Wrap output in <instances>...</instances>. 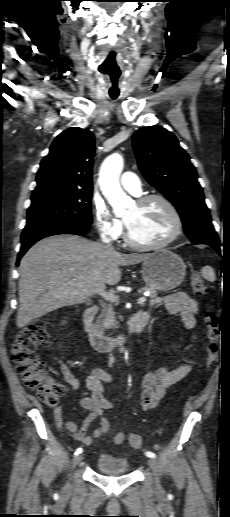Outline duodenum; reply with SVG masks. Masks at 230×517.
I'll use <instances>...</instances> for the list:
<instances>
[{"mask_svg":"<svg viewBox=\"0 0 230 517\" xmlns=\"http://www.w3.org/2000/svg\"><path fill=\"white\" fill-rule=\"evenodd\" d=\"M98 307L92 305L83 314V326L94 349L98 352H110L125 345L129 336L140 334L149 322L148 311L141 310L134 314L129 321L128 334L119 336H106L94 323Z\"/></svg>","mask_w":230,"mask_h":517,"instance_id":"obj_1","label":"duodenum"}]
</instances>
